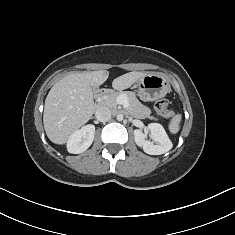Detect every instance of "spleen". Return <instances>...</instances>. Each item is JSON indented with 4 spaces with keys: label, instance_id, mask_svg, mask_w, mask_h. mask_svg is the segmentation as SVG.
Returning <instances> with one entry per match:
<instances>
[{
    "label": "spleen",
    "instance_id": "3e777b00",
    "mask_svg": "<svg viewBox=\"0 0 235 235\" xmlns=\"http://www.w3.org/2000/svg\"><path fill=\"white\" fill-rule=\"evenodd\" d=\"M182 119L181 114H176L169 123V131L172 134H176L180 130V122Z\"/></svg>",
    "mask_w": 235,
    "mask_h": 235
}]
</instances>
